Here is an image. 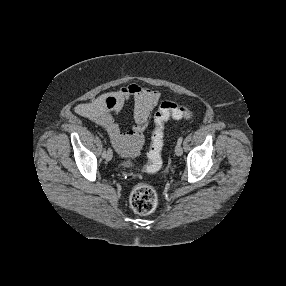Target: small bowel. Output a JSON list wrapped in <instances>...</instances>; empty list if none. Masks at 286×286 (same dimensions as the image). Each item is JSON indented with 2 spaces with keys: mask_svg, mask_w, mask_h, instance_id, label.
Listing matches in <instances>:
<instances>
[{
  "mask_svg": "<svg viewBox=\"0 0 286 286\" xmlns=\"http://www.w3.org/2000/svg\"><path fill=\"white\" fill-rule=\"evenodd\" d=\"M160 99V91L138 83H129L102 94L91 103L79 104L75 110L105 130L119 155L131 158L136 156L142 147L143 133ZM129 101L133 102V125L129 130L123 131L116 121V116Z\"/></svg>",
  "mask_w": 286,
  "mask_h": 286,
  "instance_id": "obj_1",
  "label": "small bowel"
}]
</instances>
